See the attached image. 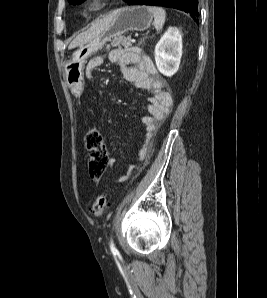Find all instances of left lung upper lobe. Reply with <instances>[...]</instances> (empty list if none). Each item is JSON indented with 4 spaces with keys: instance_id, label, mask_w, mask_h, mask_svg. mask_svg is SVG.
Returning a JSON list of instances; mask_svg holds the SVG:
<instances>
[{
    "instance_id": "1",
    "label": "left lung upper lobe",
    "mask_w": 267,
    "mask_h": 298,
    "mask_svg": "<svg viewBox=\"0 0 267 298\" xmlns=\"http://www.w3.org/2000/svg\"><path fill=\"white\" fill-rule=\"evenodd\" d=\"M69 1V3H71V4H80V3H82L84 0H68ZM125 2L127 1V0H124Z\"/></svg>"
}]
</instances>
